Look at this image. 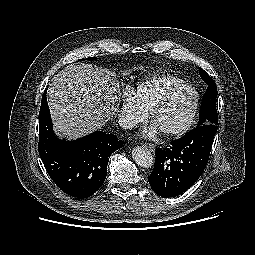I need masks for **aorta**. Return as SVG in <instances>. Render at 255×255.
I'll return each mask as SVG.
<instances>
[{
  "label": "aorta",
  "instance_id": "obj_1",
  "mask_svg": "<svg viewBox=\"0 0 255 255\" xmlns=\"http://www.w3.org/2000/svg\"><path fill=\"white\" fill-rule=\"evenodd\" d=\"M134 161L141 167L149 168L153 165V157L146 148L137 146L132 150Z\"/></svg>",
  "mask_w": 255,
  "mask_h": 255
}]
</instances>
